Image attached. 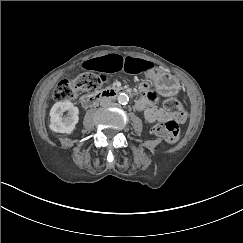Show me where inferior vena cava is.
<instances>
[{"label": "inferior vena cava", "mask_w": 243, "mask_h": 243, "mask_svg": "<svg viewBox=\"0 0 243 243\" xmlns=\"http://www.w3.org/2000/svg\"><path fill=\"white\" fill-rule=\"evenodd\" d=\"M111 100L108 98V97H103L101 100H100V106L101 107H108L111 105Z\"/></svg>", "instance_id": "602c4592"}]
</instances>
